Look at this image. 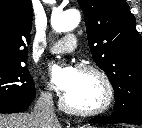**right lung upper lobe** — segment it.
Listing matches in <instances>:
<instances>
[{"label":"right lung upper lobe","instance_id":"right-lung-upper-lobe-1","mask_svg":"<svg viewBox=\"0 0 142 128\" xmlns=\"http://www.w3.org/2000/svg\"><path fill=\"white\" fill-rule=\"evenodd\" d=\"M32 18L31 0H0V66L26 63Z\"/></svg>","mask_w":142,"mask_h":128}]
</instances>
